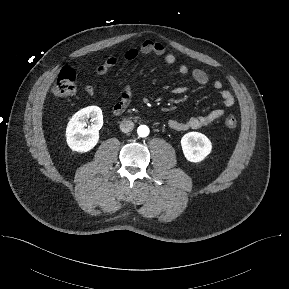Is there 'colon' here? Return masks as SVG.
Wrapping results in <instances>:
<instances>
[{
    "label": "colon",
    "instance_id": "colon-1",
    "mask_svg": "<svg viewBox=\"0 0 289 289\" xmlns=\"http://www.w3.org/2000/svg\"><path fill=\"white\" fill-rule=\"evenodd\" d=\"M76 92V73L71 67H64L54 86L53 93L57 97H71ZM224 124L228 129H235L237 119L233 114H228L225 117Z\"/></svg>",
    "mask_w": 289,
    "mask_h": 289
}]
</instances>
